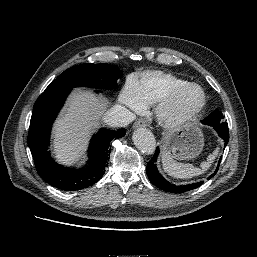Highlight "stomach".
I'll return each mask as SVG.
<instances>
[{"mask_svg":"<svg viewBox=\"0 0 257 257\" xmlns=\"http://www.w3.org/2000/svg\"><path fill=\"white\" fill-rule=\"evenodd\" d=\"M204 146L201 129L195 123H188L169 131L164 148L177 160H189L198 156Z\"/></svg>","mask_w":257,"mask_h":257,"instance_id":"0dacf381","label":"stomach"}]
</instances>
